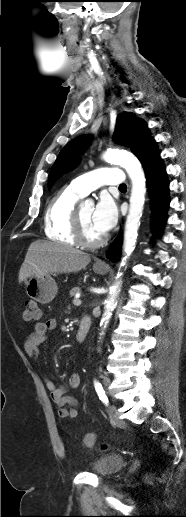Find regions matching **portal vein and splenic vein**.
Masks as SVG:
<instances>
[{
    "label": "portal vein and splenic vein",
    "mask_w": 186,
    "mask_h": 517,
    "mask_svg": "<svg viewBox=\"0 0 186 517\" xmlns=\"http://www.w3.org/2000/svg\"><path fill=\"white\" fill-rule=\"evenodd\" d=\"M73 304H74V305H80V304H81V300H79L78 298H75V299L73 300Z\"/></svg>",
    "instance_id": "1"
}]
</instances>
